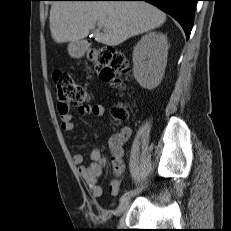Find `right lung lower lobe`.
Returning <instances> with one entry per match:
<instances>
[{
    "label": "right lung lower lobe",
    "instance_id": "98d812e1",
    "mask_svg": "<svg viewBox=\"0 0 231 231\" xmlns=\"http://www.w3.org/2000/svg\"><path fill=\"white\" fill-rule=\"evenodd\" d=\"M97 1V0H96ZM99 1H146L171 15L182 26L186 38L193 27L194 13L198 0H99Z\"/></svg>",
    "mask_w": 231,
    "mask_h": 231
}]
</instances>
